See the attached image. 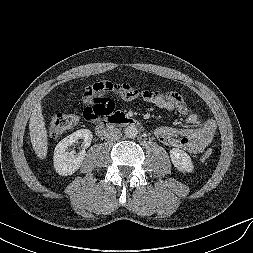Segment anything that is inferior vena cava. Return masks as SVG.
Instances as JSON below:
<instances>
[{"label": "inferior vena cava", "instance_id": "obj_1", "mask_svg": "<svg viewBox=\"0 0 253 253\" xmlns=\"http://www.w3.org/2000/svg\"><path fill=\"white\" fill-rule=\"evenodd\" d=\"M122 136V133L117 128H107L104 132V139L109 142L117 141Z\"/></svg>", "mask_w": 253, "mask_h": 253}]
</instances>
